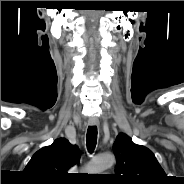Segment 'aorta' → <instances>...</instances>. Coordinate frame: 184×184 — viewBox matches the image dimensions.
Wrapping results in <instances>:
<instances>
[{"mask_svg": "<svg viewBox=\"0 0 184 184\" xmlns=\"http://www.w3.org/2000/svg\"><path fill=\"white\" fill-rule=\"evenodd\" d=\"M115 162V158L112 154H103L92 160L89 165L88 171L91 174H99L105 169L111 167Z\"/></svg>", "mask_w": 184, "mask_h": 184, "instance_id": "aorta-1", "label": "aorta"}]
</instances>
